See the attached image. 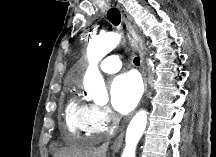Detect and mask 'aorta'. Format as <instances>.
<instances>
[{"label":"aorta","instance_id":"obj_1","mask_svg":"<svg viewBox=\"0 0 216 157\" xmlns=\"http://www.w3.org/2000/svg\"><path fill=\"white\" fill-rule=\"evenodd\" d=\"M119 41V34L110 32L94 37L89 42L87 50L89 66L84 76V87L88 99L97 104L108 101V93L104 79L98 70V63L118 45ZM147 114L145 110H140L130 121L126 131V145L122 157H135L136 146L147 126Z\"/></svg>","mask_w":216,"mask_h":157}]
</instances>
